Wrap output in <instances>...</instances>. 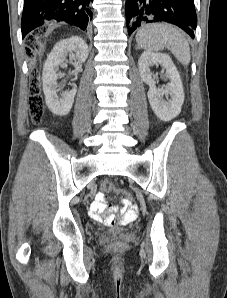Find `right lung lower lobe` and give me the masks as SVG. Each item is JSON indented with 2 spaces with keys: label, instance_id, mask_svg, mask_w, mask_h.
I'll return each instance as SVG.
<instances>
[{
  "label": "right lung lower lobe",
  "instance_id": "right-lung-lower-lobe-1",
  "mask_svg": "<svg viewBox=\"0 0 227 298\" xmlns=\"http://www.w3.org/2000/svg\"><path fill=\"white\" fill-rule=\"evenodd\" d=\"M93 0H24L21 21L22 38L41 26L68 23L82 30L92 19Z\"/></svg>",
  "mask_w": 227,
  "mask_h": 298
}]
</instances>
